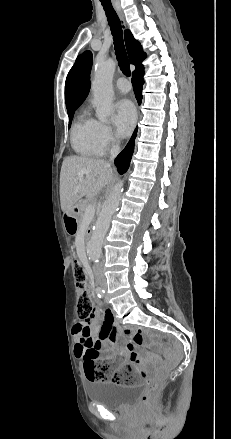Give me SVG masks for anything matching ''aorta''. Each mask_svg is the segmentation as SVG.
I'll return each instance as SVG.
<instances>
[{
    "label": "aorta",
    "mask_w": 231,
    "mask_h": 439,
    "mask_svg": "<svg viewBox=\"0 0 231 439\" xmlns=\"http://www.w3.org/2000/svg\"><path fill=\"white\" fill-rule=\"evenodd\" d=\"M116 63L113 59L99 62L95 67L92 82L93 105L96 117L106 122L113 110V86L112 79ZM123 192V182H118L102 206V210L95 223L91 238L87 243V255L92 261H98L102 254V245L109 229L111 217L120 204Z\"/></svg>",
    "instance_id": "1"
}]
</instances>
